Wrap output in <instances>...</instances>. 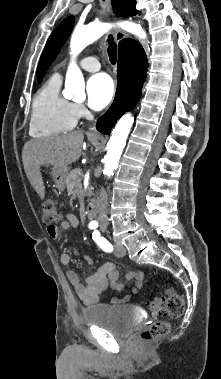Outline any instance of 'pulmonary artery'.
<instances>
[{
	"instance_id": "1",
	"label": "pulmonary artery",
	"mask_w": 221,
	"mask_h": 379,
	"mask_svg": "<svg viewBox=\"0 0 221 379\" xmlns=\"http://www.w3.org/2000/svg\"><path fill=\"white\" fill-rule=\"evenodd\" d=\"M79 65L88 72H96L101 68L100 62L95 57H85L80 61Z\"/></svg>"
}]
</instances>
